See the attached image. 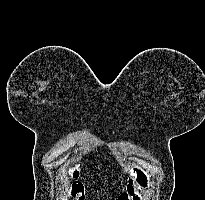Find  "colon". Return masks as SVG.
Masks as SVG:
<instances>
[{"mask_svg": "<svg viewBox=\"0 0 205 200\" xmlns=\"http://www.w3.org/2000/svg\"><path fill=\"white\" fill-rule=\"evenodd\" d=\"M67 174L72 181L70 188L71 200H85V190L83 184L78 180V166H69ZM148 180L142 170L136 169L131 178L126 191L117 200H137L139 189L146 187Z\"/></svg>", "mask_w": 205, "mask_h": 200, "instance_id": "1", "label": "colon"}]
</instances>
